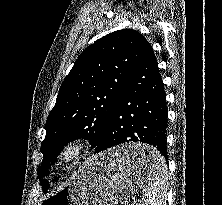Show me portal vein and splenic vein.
I'll list each match as a JSON object with an SVG mask.
<instances>
[{
	"label": "portal vein and splenic vein",
	"instance_id": "18ae733b",
	"mask_svg": "<svg viewBox=\"0 0 222 205\" xmlns=\"http://www.w3.org/2000/svg\"><path fill=\"white\" fill-rule=\"evenodd\" d=\"M132 200H133V205H135L136 202H137V199L136 198H132Z\"/></svg>",
	"mask_w": 222,
	"mask_h": 205
}]
</instances>
